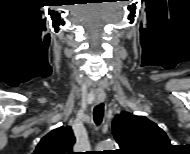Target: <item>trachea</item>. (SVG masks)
I'll return each mask as SVG.
<instances>
[{"instance_id":"trachea-1","label":"trachea","mask_w":190,"mask_h":154,"mask_svg":"<svg viewBox=\"0 0 190 154\" xmlns=\"http://www.w3.org/2000/svg\"><path fill=\"white\" fill-rule=\"evenodd\" d=\"M104 105L101 103L95 106L93 111L94 121L96 125H100L103 120Z\"/></svg>"}]
</instances>
